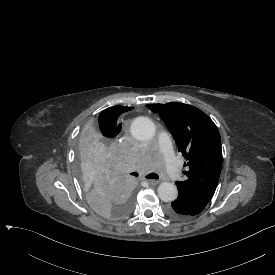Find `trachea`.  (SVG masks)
Wrapping results in <instances>:
<instances>
[{
	"mask_svg": "<svg viewBox=\"0 0 275 275\" xmlns=\"http://www.w3.org/2000/svg\"><path fill=\"white\" fill-rule=\"evenodd\" d=\"M131 175L138 176V173L132 172ZM147 179H159V176L156 173H150L146 176Z\"/></svg>",
	"mask_w": 275,
	"mask_h": 275,
	"instance_id": "1",
	"label": "trachea"
}]
</instances>
